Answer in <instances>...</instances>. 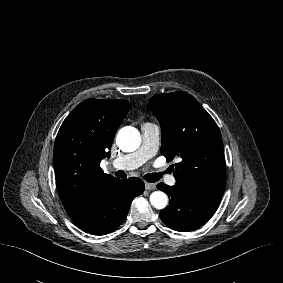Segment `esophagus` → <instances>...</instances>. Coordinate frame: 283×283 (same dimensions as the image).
<instances>
[{
  "label": "esophagus",
  "mask_w": 283,
  "mask_h": 283,
  "mask_svg": "<svg viewBox=\"0 0 283 283\" xmlns=\"http://www.w3.org/2000/svg\"><path fill=\"white\" fill-rule=\"evenodd\" d=\"M145 189L146 190H155L156 189V184L155 183L145 182Z\"/></svg>",
  "instance_id": "34e87169"
}]
</instances>
